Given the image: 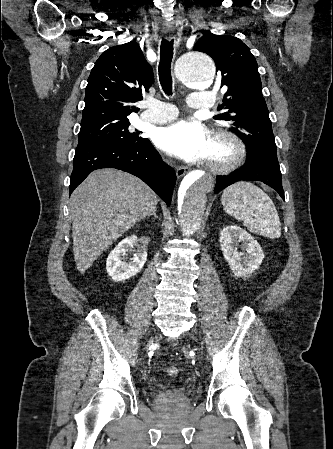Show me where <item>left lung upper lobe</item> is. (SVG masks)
Masks as SVG:
<instances>
[{"mask_svg": "<svg viewBox=\"0 0 333 449\" xmlns=\"http://www.w3.org/2000/svg\"><path fill=\"white\" fill-rule=\"evenodd\" d=\"M211 56L227 87L222 108L227 113L214 119L227 122L247 149V163H278L269 112L262 95L258 65L250 49L233 36L207 31L193 48Z\"/></svg>", "mask_w": 333, "mask_h": 449, "instance_id": "obj_1", "label": "left lung upper lobe"}]
</instances>
